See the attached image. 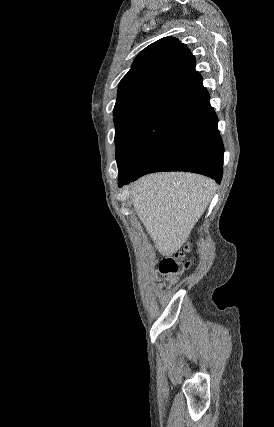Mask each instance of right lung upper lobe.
I'll return each mask as SVG.
<instances>
[{"label": "right lung upper lobe", "mask_w": 274, "mask_h": 427, "mask_svg": "<svg viewBox=\"0 0 274 427\" xmlns=\"http://www.w3.org/2000/svg\"><path fill=\"white\" fill-rule=\"evenodd\" d=\"M202 89L190 50L176 38L164 37L136 57L119 83L114 109L155 96L176 104Z\"/></svg>", "instance_id": "right-lung-upper-lobe-1"}]
</instances>
